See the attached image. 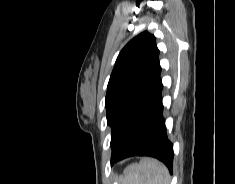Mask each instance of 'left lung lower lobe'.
Instances as JSON below:
<instances>
[{"mask_svg":"<svg viewBox=\"0 0 235 184\" xmlns=\"http://www.w3.org/2000/svg\"><path fill=\"white\" fill-rule=\"evenodd\" d=\"M162 89L159 77L155 90L140 112L126 144L111 160V165L130 156H150L162 161L172 173L174 152L173 144L167 137L163 117Z\"/></svg>","mask_w":235,"mask_h":184,"instance_id":"obj_1","label":"left lung lower lobe"}]
</instances>
